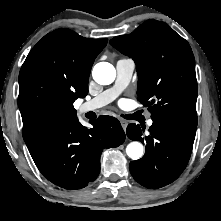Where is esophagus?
<instances>
[{"instance_id": "esophagus-1", "label": "esophagus", "mask_w": 221, "mask_h": 221, "mask_svg": "<svg viewBox=\"0 0 221 221\" xmlns=\"http://www.w3.org/2000/svg\"><path fill=\"white\" fill-rule=\"evenodd\" d=\"M120 122H121L123 129L126 130L128 122L126 120H120Z\"/></svg>"}]
</instances>
